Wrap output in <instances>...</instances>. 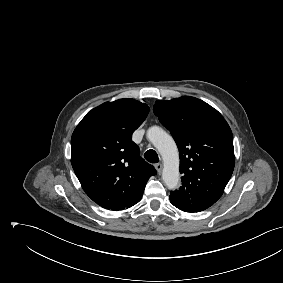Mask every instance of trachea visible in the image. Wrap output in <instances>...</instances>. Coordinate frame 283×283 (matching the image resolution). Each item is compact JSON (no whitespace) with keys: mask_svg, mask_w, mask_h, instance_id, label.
<instances>
[{"mask_svg":"<svg viewBox=\"0 0 283 283\" xmlns=\"http://www.w3.org/2000/svg\"><path fill=\"white\" fill-rule=\"evenodd\" d=\"M144 158L150 163H158L159 162V158H158L157 153L152 149L145 152Z\"/></svg>","mask_w":283,"mask_h":283,"instance_id":"3493384b","label":"trachea"}]
</instances>
